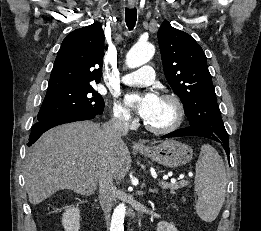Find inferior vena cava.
<instances>
[{"mask_svg":"<svg viewBox=\"0 0 261 231\" xmlns=\"http://www.w3.org/2000/svg\"><path fill=\"white\" fill-rule=\"evenodd\" d=\"M129 130V119L126 116H118L102 126V132L105 144L113 146L122 141L121 137L125 136ZM99 199L107 224L110 221L112 202L114 197L113 174L102 162L99 172Z\"/></svg>","mask_w":261,"mask_h":231,"instance_id":"1","label":"inferior vena cava"}]
</instances>
